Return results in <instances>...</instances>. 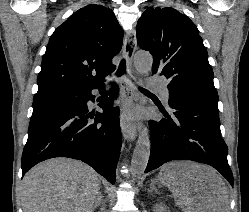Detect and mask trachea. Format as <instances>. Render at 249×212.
<instances>
[{
  "instance_id": "trachea-1",
  "label": "trachea",
  "mask_w": 249,
  "mask_h": 212,
  "mask_svg": "<svg viewBox=\"0 0 249 212\" xmlns=\"http://www.w3.org/2000/svg\"><path fill=\"white\" fill-rule=\"evenodd\" d=\"M126 66H125V61L122 60V62L119 65L118 71H117V75H122L125 72ZM140 90H146L143 88H140Z\"/></svg>"
}]
</instances>
